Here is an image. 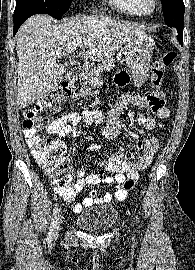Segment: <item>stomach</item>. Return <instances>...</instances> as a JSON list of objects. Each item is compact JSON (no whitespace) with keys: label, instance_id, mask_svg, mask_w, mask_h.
<instances>
[{"label":"stomach","instance_id":"1","mask_svg":"<svg viewBox=\"0 0 195 270\" xmlns=\"http://www.w3.org/2000/svg\"><path fill=\"white\" fill-rule=\"evenodd\" d=\"M155 42L147 34L135 35L124 46V57L131 71L134 84L141 86L149 76L150 59L153 55ZM93 86H101L99 76L90 79Z\"/></svg>","mask_w":195,"mask_h":270}]
</instances>
